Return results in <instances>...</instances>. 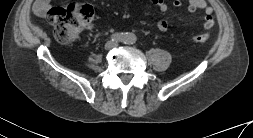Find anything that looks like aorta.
<instances>
[{
    "label": "aorta",
    "mask_w": 253,
    "mask_h": 138,
    "mask_svg": "<svg viewBox=\"0 0 253 138\" xmlns=\"http://www.w3.org/2000/svg\"><path fill=\"white\" fill-rule=\"evenodd\" d=\"M136 40V36L133 33H127L125 42L132 43Z\"/></svg>",
    "instance_id": "762f6f07"
}]
</instances>
